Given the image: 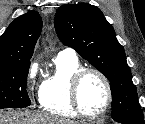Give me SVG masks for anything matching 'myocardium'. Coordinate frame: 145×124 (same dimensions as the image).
Wrapping results in <instances>:
<instances>
[{"label":"myocardium","mask_w":145,"mask_h":124,"mask_svg":"<svg viewBox=\"0 0 145 124\" xmlns=\"http://www.w3.org/2000/svg\"><path fill=\"white\" fill-rule=\"evenodd\" d=\"M89 74L96 75L102 81L107 93V100L103 109L94 114L85 112L82 108L81 100H80V88L82 82L84 81L85 77ZM70 97H71L72 105L75 111L78 113V115L87 119L101 118L106 114V112L108 111V109L110 108L113 102V92L109 79L102 71L91 67H82L72 75L70 80Z\"/></svg>","instance_id":"1"}]
</instances>
